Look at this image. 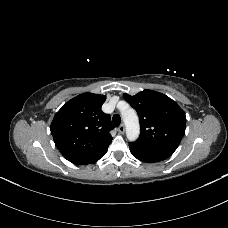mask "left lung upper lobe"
Returning <instances> with one entry per match:
<instances>
[{
  "label": "left lung upper lobe",
  "instance_id": "5c2ea615",
  "mask_svg": "<svg viewBox=\"0 0 228 228\" xmlns=\"http://www.w3.org/2000/svg\"><path fill=\"white\" fill-rule=\"evenodd\" d=\"M124 98L136 109L141 126L139 139L131 144L173 153L185 133L186 116L179 105L149 89L135 96L124 94Z\"/></svg>",
  "mask_w": 228,
  "mask_h": 228
}]
</instances>
